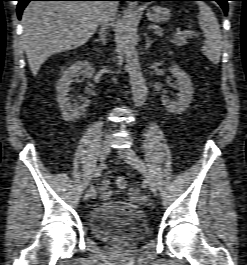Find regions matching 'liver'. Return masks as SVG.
Segmentation results:
<instances>
[{
  "instance_id": "liver-1",
  "label": "liver",
  "mask_w": 247,
  "mask_h": 265,
  "mask_svg": "<svg viewBox=\"0 0 247 265\" xmlns=\"http://www.w3.org/2000/svg\"><path fill=\"white\" fill-rule=\"evenodd\" d=\"M102 10V2H30L22 15V40L33 76L52 55L84 45L96 31Z\"/></svg>"
}]
</instances>
